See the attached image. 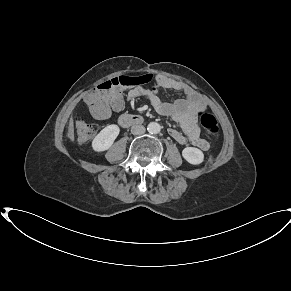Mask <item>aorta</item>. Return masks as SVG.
I'll list each match as a JSON object with an SVG mask.
<instances>
[{"label":"aorta","mask_w":291,"mask_h":291,"mask_svg":"<svg viewBox=\"0 0 291 291\" xmlns=\"http://www.w3.org/2000/svg\"><path fill=\"white\" fill-rule=\"evenodd\" d=\"M147 130L151 133V134H157L160 132L161 130V126L156 123V122H151L148 124Z\"/></svg>","instance_id":"obj_1"}]
</instances>
